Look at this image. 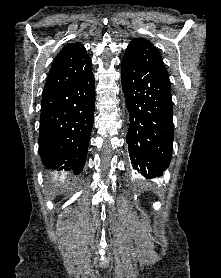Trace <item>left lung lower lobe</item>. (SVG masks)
Here are the masks:
<instances>
[{"instance_id":"1","label":"left lung lower lobe","mask_w":221,"mask_h":278,"mask_svg":"<svg viewBox=\"0 0 221 278\" xmlns=\"http://www.w3.org/2000/svg\"><path fill=\"white\" fill-rule=\"evenodd\" d=\"M121 82L129 112L127 143L133 168L147 179L168 167L173 145V109L168 73L122 66Z\"/></svg>"}]
</instances>
